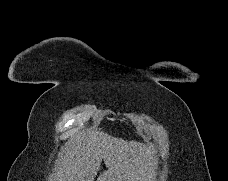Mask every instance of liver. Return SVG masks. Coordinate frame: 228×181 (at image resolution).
I'll return each instance as SVG.
<instances>
[{"label": "liver", "mask_w": 228, "mask_h": 181, "mask_svg": "<svg viewBox=\"0 0 228 181\" xmlns=\"http://www.w3.org/2000/svg\"><path fill=\"white\" fill-rule=\"evenodd\" d=\"M155 181L158 159L154 151L136 141H123L103 131H80L62 149L52 181Z\"/></svg>", "instance_id": "obj_1"}]
</instances>
